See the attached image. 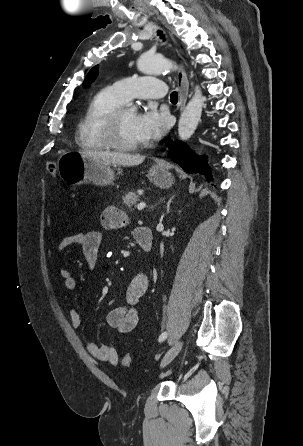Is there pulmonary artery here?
<instances>
[{
  "label": "pulmonary artery",
  "mask_w": 303,
  "mask_h": 446,
  "mask_svg": "<svg viewBox=\"0 0 303 446\" xmlns=\"http://www.w3.org/2000/svg\"><path fill=\"white\" fill-rule=\"evenodd\" d=\"M117 93L127 102L133 98L159 99L166 93L165 83L155 77H127L113 84Z\"/></svg>",
  "instance_id": "obj_1"
}]
</instances>
